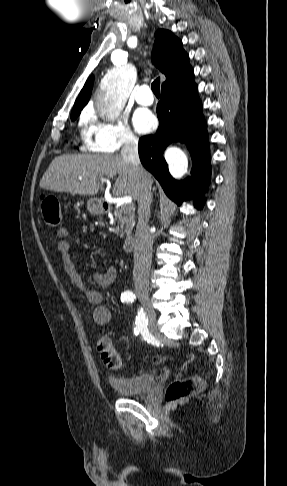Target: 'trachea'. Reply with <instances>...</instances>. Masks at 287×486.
<instances>
[{
	"instance_id": "3493384b",
	"label": "trachea",
	"mask_w": 287,
	"mask_h": 486,
	"mask_svg": "<svg viewBox=\"0 0 287 486\" xmlns=\"http://www.w3.org/2000/svg\"><path fill=\"white\" fill-rule=\"evenodd\" d=\"M151 88L155 95H160V78H157L152 82Z\"/></svg>"
}]
</instances>
